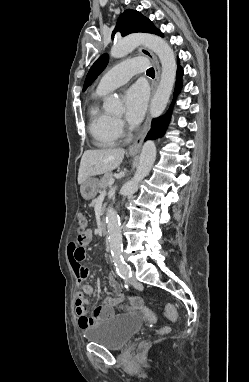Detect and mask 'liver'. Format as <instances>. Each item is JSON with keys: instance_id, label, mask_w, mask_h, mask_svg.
I'll use <instances>...</instances> for the list:
<instances>
[{"instance_id": "liver-1", "label": "liver", "mask_w": 249, "mask_h": 382, "mask_svg": "<svg viewBox=\"0 0 249 382\" xmlns=\"http://www.w3.org/2000/svg\"><path fill=\"white\" fill-rule=\"evenodd\" d=\"M125 150L114 149H92L84 152L79 172L78 183L82 185L91 176L104 174L116 169L124 158Z\"/></svg>"}]
</instances>
